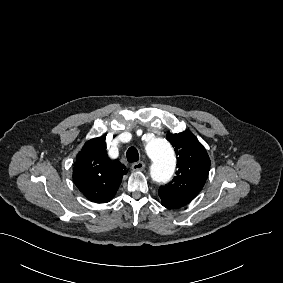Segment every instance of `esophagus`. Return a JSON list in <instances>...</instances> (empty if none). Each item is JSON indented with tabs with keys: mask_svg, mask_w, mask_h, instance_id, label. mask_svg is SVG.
I'll return each instance as SVG.
<instances>
[{
	"mask_svg": "<svg viewBox=\"0 0 283 283\" xmlns=\"http://www.w3.org/2000/svg\"><path fill=\"white\" fill-rule=\"evenodd\" d=\"M146 167V164L143 161H138L136 163H133L131 168L133 171H142Z\"/></svg>",
	"mask_w": 283,
	"mask_h": 283,
	"instance_id": "1",
	"label": "esophagus"
}]
</instances>
